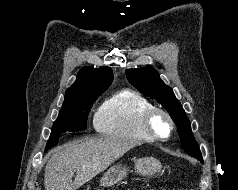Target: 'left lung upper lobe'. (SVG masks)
Masks as SVG:
<instances>
[{
  "label": "left lung upper lobe",
  "instance_id": "1",
  "mask_svg": "<svg viewBox=\"0 0 238 190\" xmlns=\"http://www.w3.org/2000/svg\"><path fill=\"white\" fill-rule=\"evenodd\" d=\"M129 81L141 93L157 100L170 114L176 123L181 147L191 156L203 161L201 151L193 138L191 124L180 102L176 99L172 88L165 85L156 70L148 67L128 69Z\"/></svg>",
  "mask_w": 238,
  "mask_h": 190
}]
</instances>
